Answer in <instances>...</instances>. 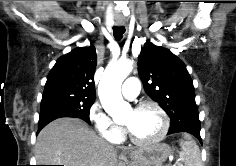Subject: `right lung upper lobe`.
Here are the masks:
<instances>
[{
    "mask_svg": "<svg viewBox=\"0 0 236 166\" xmlns=\"http://www.w3.org/2000/svg\"><path fill=\"white\" fill-rule=\"evenodd\" d=\"M97 56L94 46L78 47L61 56L49 72L44 94L62 92L95 97L93 80Z\"/></svg>",
    "mask_w": 236,
    "mask_h": 166,
    "instance_id": "obj_1",
    "label": "right lung upper lobe"
}]
</instances>
